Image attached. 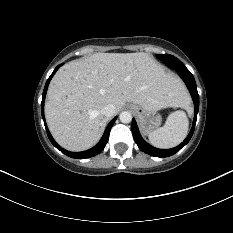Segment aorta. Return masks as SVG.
I'll list each match as a JSON object with an SVG mask.
<instances>
[{
  "label": "aorta",
  "mask_w": 233,
  "mask_h": 233,
  "mask_svg": "<svg viewBox=\"0 0 233 233\" xmlns=\"http://www.w3.org/2000/svg\"><path fill=\"white\" fill-rule=\"evenodd\" d=\"M119 118L122 123H130L132 121V115L128 111L121 112Z\"/></svg>",
  "instance_id": "1"
}]
</instances>
